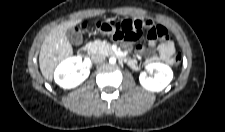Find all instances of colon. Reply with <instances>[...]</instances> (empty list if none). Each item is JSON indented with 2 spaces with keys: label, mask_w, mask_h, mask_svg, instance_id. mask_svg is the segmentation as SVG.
<instances>
[{
  "label": "colon",
  "mask_w": 225,
  "mask_h": 132,
  "mask_svg": "<svg viewBox=\"0 0 225 132\" xmlns=\"http://www.w3.org/2000/svg\"><path fill=\"white\" fill-rule=\"evenodd\" d=\"M97 27L100 31L112 36L116 40H126L135 41L140 36L141 29L134 31H122L113 22L98 23ZM148 38L151 40L166 39L168 38V33L165 28L157 26L152 29H148ZM181 61V55L177 54L173 57V63L179 64Z\"/></svg>",
  "instance_id": "colon-1"
}]
</instances>
